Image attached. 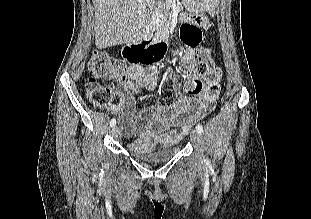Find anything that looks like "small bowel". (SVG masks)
I'll list each match as a JSON object with an SVG mask.
<instances>
[{
    "label": "small bowel",
    "mask_w": 311,
    "mask_h": 219,
    "mask_svg": "<svg viewBox=\"0 0 311 219\" xmlns=\"http://www.w3.org/2000/svg\"><path fill=\"white\" fill-rule=\"evenodd\" d=\"M183 42L185 51L182 59L189 62L194 58L197 45ZM159 78L160 71L155 65L145 67L136 64L128 70V80L148 90L157 87ZM220 80L221 71L216 68L206 76L207 86L198 95L183 93L178 80H175V98L144 108L136 119L135 99L127 84H121V101L109 109L120 118L124 136L150 144L170 145L180 141L190 125L212 109L220 93Z\"/></svg>",
    "instance_id": "small-bowel-1"
}]
</instances>
